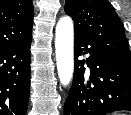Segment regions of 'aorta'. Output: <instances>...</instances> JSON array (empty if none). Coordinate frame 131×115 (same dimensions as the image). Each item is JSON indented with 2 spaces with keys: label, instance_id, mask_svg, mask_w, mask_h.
Here are the masks:
<instances>
[{
  "label": "aorta",
  "instance_id": "aorta-1",
  "mask_svg": "<svg viewBox=\"0 0 131 115\" xmlns=\"http://www.w3.org/2000/svg\"><path fill=\"white\" fill-rule=\"evenodd\" d=\"M74 26L70 17H62L55 30V53L57 71L61 84L67 86L74 72Z\"/></svg>",
  "mask_w": 131,
  "mask_h": 115
}]
</instances>
